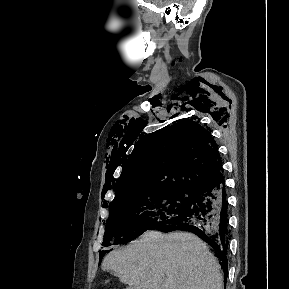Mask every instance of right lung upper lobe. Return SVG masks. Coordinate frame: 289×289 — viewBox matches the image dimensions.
Wrapping results in <instances>:
<instances>
[{
  "label": "right lung upper lobe",
  "mask_w": 289,
  "mask_h": 289,
  "mask_svg": "<svg viewBox=\"0 0 289 289\" xmlns=\"http://www.w3.org/2000/svg\"><path fill=\"white\" fill-rule=\"evenodd\" d=\"M223 173L208 127L182 119L137 143L116 186L111 205L166 190H194Z\"/></svg>",
  "instance_id": "obj_1"
}]
</instances>
